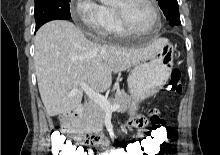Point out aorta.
<instances>
[{
  "instance_id": "aorta-1",
  "label": "aorta",
  "mask_w": 220,
  "mask_h": 155,
  "mask_svg": "<svg viewBox=\"0 0 220 155\" xmlns=\"http://www.w3.org/2000/svg\"><path fill=\"white\" fill-rule=\"evenodd\" d=\"M113 0H102L103 3H110L112 2Z\"/></svg>"
}]
</instances>
